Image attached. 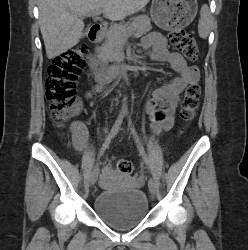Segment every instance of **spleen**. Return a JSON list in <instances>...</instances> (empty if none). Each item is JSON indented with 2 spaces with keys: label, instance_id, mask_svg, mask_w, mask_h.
Segmentation results:
<instances>
[{
  "label": "spleen",
  "instance_id": "1",
  "mask_svg": "<svg viewBox=\"0 0 248 250\" xmlns=\"http://www.w3.org/2000/svg\"><path fill=\"white\" fill-rule=\"evenodd\" d=\"M211 13L208 5L204 4L200 11V19L198 23V33L202 39L208 37L210 31Z\"/></svg>",
  "mask_w": 248,
  "mask_h": 250
}]
</instances>
